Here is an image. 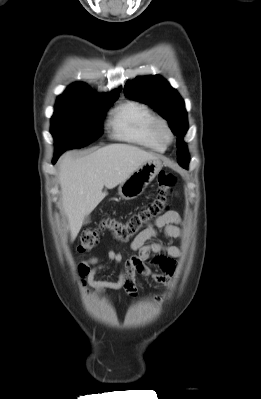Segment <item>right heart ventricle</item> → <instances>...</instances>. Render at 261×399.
Listing matches in <instances>:
<instances>
[{"instance_id":"1","label":"right heart ventricle","mask_w":261,"mask_h":399,"mask_svg":"<svg viewBox=\"0 0 261 399\" xmlns=\"http://www.w3.org/2000/svg\"><path fill=\"white\" fill-rule=\"evenodd\" d=\"M156 115L139 101L128 100L111 113L109 126L115 139L132 143L150 150L163 152V144L155 134Z\"/></svg>"}]
</instances>
